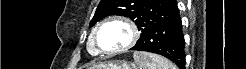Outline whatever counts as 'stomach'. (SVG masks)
I'll return each instance as SVG.
<instances>
[{
  "mask_svg": "<svg viewBox=\"0 0 246 69\" xmlns=\"http://www.w3.org/2000/svg\"><path fill=\"white\" fill-rule=\"evenodd\" d=\"M88 69H133L126 62L113 61L94 65Z\"/></svg>",
  "mask_w": 246,
  "mask_h": 69,
  "instance_id": "stomach-1",
  "label": "stomach"
}]
</instances>
